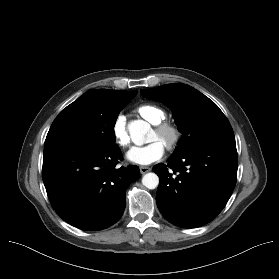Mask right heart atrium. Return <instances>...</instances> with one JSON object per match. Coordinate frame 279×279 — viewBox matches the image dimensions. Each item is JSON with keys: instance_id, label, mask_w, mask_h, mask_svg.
<instances>
[{"instance_id": "obj_1", "label": "right heart atrium", "mask_w": 279, "mask_h": 279, "mask_svg": "<svg viewBox=\"0 0 279 279\" xmlns=\"http://www.w3.org/2000/svg\"><path fill=\"white\" fill-rule=\"evenodd\" d=\"M112 135L115 140V142L120 147H127L130 142V138L128 135V131L125 125V121L122 117H118L112 124Z\"/></svg>"}]
</instances>
